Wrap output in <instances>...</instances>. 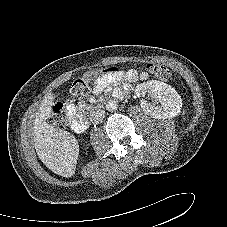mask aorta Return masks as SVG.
Masks as SVG:
<instances>
[{
  "label": "aorta",
  "instance_id": "762f6f07",
  "mask_svg": "<svg viewBox=\"0 0 227 227\" xmlns=\"http://www.w3.org/2000/svg\"><path fill=\"white\" fill-rule=\"evenodd\" d=\"M105 107L107 111L114 112L118 109V103L115 100H109Z\"/></svg>",
  "mask_w": 227,
  "mask_h": 227
}]
</instances>
